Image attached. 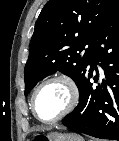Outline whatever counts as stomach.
Listing matches in <instances>:
<instances>
[{
    "instance_id": "stomach-1",
    "label": "stomach",
    "mask_w": 119,
    "mask_h": 141,
    "mask_svg": "<svg viewBox=\"0 0 119 141\" xmlns=\"http://www.w3.org/2000/svg\"><path fill=\"white\" fill-rule=\"evenodd\" d=\"M46 137L49 141H84L81 136L73 133H50Z\"/></svg>"
}]
</instances>
